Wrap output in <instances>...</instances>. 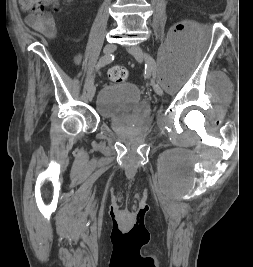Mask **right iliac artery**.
Wrapping results in <instances>:
<instances>
[{"mask_svg": "<svg viewBox=\"0 0 253 267\" xmlns=\"http://www.w3.org/2000/svg\"><path fill=\"white\" fill-rule=\"evenodd\" d=\"M114 60V55L108 54L104 55L99 59L98 64L96 65V70L111 63ZM91 84H93V75H90L87 79V87H89Z\"/></svg>", "mask_w": 253, "mask_h": 267, "instance_id": "right-iliac-artery-1", "label": "right iliac artery"}]
</instances>
